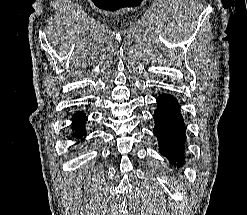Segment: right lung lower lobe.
<instances>
[{
	"label": "right lung lower lobe",
	"mask_w": 247,
	"mask_h": 215,
	"mask_svg": "<svg viewBox=\"0 0 247 215\" xmlns=\"http://www.w3.org/2000/svg\"><path fill=\"white\" fill-rule=\"evenodd\" d=\"M86 120V116L82 112H78L73 117V126L72 128L75 130L74 135L76 137H81L84 135V123Z\"/></svg>",
	"instance_id": "obj_1"
}]
</instances>
